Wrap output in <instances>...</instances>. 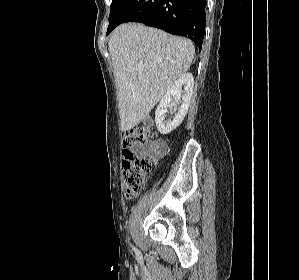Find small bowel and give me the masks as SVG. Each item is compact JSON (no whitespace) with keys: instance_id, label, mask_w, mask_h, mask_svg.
<instances>
[{"instance_id":"small-bowel-1","label":"small bowel","mask_w":299,"mask_h":280,"mask_svg":"<svg viewBox=\"0 0 299 280\" xmlns=\"http://www.w3.org/2000/svg\"><path fill=\"white\" fill-rule=\"evenodd\" d=\"M143 154H151L155 157H162L167 152V144L164 140H156L140 148Z\"/></svg>"}]
</instances>
